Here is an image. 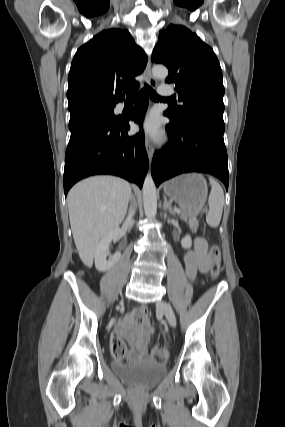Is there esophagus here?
<instances>
[{
	"label": "esophagus",
	"instance_id": "34e87169",
	"mask_svg": "<svg viewBox=\"0 0 285 427\" xmlns=\"http://www.w3.org/2000/svg\"><path fill=\"white\" fill-rule=\"evenodd\" d=\"M145 76H146L147 83L151 87H156L157 86V81L153 77L152 72H151V62H150V60L148 61L147 65H146V68H145ZM145 147H146V151H147V154H148V158L151 161L152 157L154 155V147H153V144L151 143L150 138L148 136L145 139Z\"/></svg>",
	"mask_w": 285,
	"mask_h": 427
}]
</instances>
